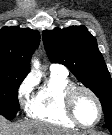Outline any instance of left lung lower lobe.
Masks as SVG:
<instances>
[{"label":"left lung lower lobe","instance_id":"1","mask_svg":"<svg viewBox=\"0 0 112 135\" xmlns=\"http://www.w3.org/2000/svg\"><path fill=\"white\" fill-rule=\"evenodd\" d=\"M103 127L109 129V131L112 133V121L105 123Z\"/></svg>","mask_w":112,"mask_h":135}]
</instances>
